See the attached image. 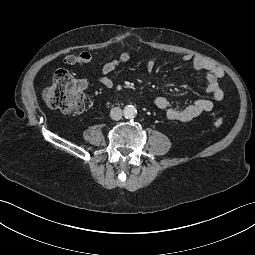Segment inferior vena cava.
Listing matches in <instances>:
<instances>
[{
	"instance_id": "1",
	"label": "inferior vena cava",
	"mask_w": 255,
	"mask_h": 255,
	"mask_svg": "<svg viewBox=\"0 0 255 255\" xmlns=\"http://www.w3.org/2000/svg\"><path fill=\"white\" fill-rule=\"evenodd\" d=\"M122 115H123V111L119 107H114L110 111V117L113 120H116V121L120 120L122 118Z\"/></svg>"
}]
</instances>
